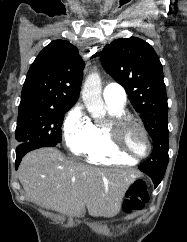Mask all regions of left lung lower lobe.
I'll use <instances>...</instances> for the list:
<instances>
[{
	"instance_id": "1",
	"label": "left lung lower lobe",
	"mask_w": 187,
	"mask_h": 242,
	"mask_svg": "<svg viewBox=\"0 0 187 242\" xmlns=\"http://www.w3.org/2000/svg\"><path fill=\"white\" fill-rule=\"evenodd\" d=\"M139 168V167H138ZM142 172L146 173L153 181L155 188L160 184L165 172L152 171L147 169L139 168Z\"/></svg>"
}]
</instances>
